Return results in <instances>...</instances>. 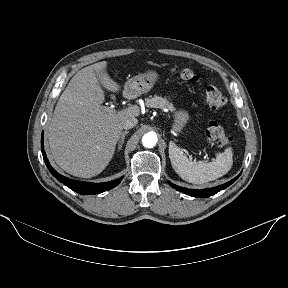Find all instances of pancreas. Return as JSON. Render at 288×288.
Instances as JSON below:
<instances>
[{
  "instance_id": "obj_1",
  "label": "pancreas",
  "mask_w": 288,
  "mask_h": 288,
  "mask_svg": "<svg viewBox=\"0 0 288 288\" xmlns=\"http://www.w3.org/2000/svg\"><path fill=\"white\" fill-rule=\"evenodd\" d=\"M145 105L150 108L168 109L171 112L175 110L173 104L169 102L167 98L159 96H150L149 98H146Z\"/></svg>"
}]
</instances>
